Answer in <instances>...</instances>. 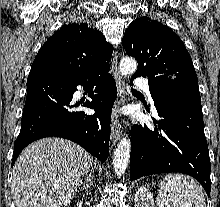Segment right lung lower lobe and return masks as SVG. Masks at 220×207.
I'll return each instance as SVG.
<instances>
[{
    "label": "right lung lower lobe",
    "instance_id": "obj_1",
    "mask_svg": "<svg viewBox=\"0 0 220 207\" xmlns=\"http://www.w3.org/2000/svg\"><path fill=\"white\" fill-rule=\"evenodd\" d=\"M101 65L82 78L55 74L28 76L27 97L21 119V130L14 143L12 166L20 152L31 142L44 137H61L85 148L104 162L109 153L110 114L117 97L116 83ZM77 85L90 88L92 101L83 106L96 110L87 115L73 103ZM96 85L95 93L93 88Z\"/></svg>",
    "mask_w": 220,
    "mask_h": 207
}]
</instances>
